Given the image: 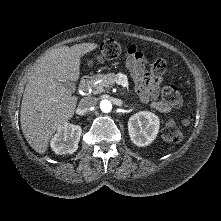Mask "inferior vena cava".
<instances>
[{
  "label": "inferior vena cava",
  "mask_w": 221,
  "mask_h": 221,
  "mask_svg": "<svg viewBox=\"0 0 221 221\" xmlns=\"http://www.w3.org/2000/svg\"><path fill=\"white\" fill-rule=\"evenodd\" d=\"M97 104V100L94 97H85L83 99H81L80 103H79V108L82 112H87L89 109H91L92 107L96 106Z\"/></svg>",
  "instance_id": "602c4592"
}]
</instances>
